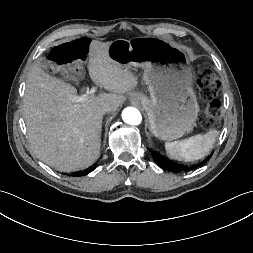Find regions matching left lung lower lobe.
<instances>
[{
  "label": "left lung lower lobe",
  "instance_id": "left-lung-lower-lobe-1",
  "mask_svg": "<svg viewBox=\"0 0 253 253\" xmlns=\"http://www.w3.org/2000/svg\"><path fill=\"white\" fill-rule=\"evenodd\" d=\"M153 159L161 168L166 169L168 171L178 173V172H181L184 170V168L182 166L176 165L175 163L170 162L169 160L165 159L164 157H161V156L154 154V153H153ZM204 163H205V161H203L200 165H202Z\"/></svg>",
  "mask_w": 253,
  "mask_h": 253
}]
</instances>
